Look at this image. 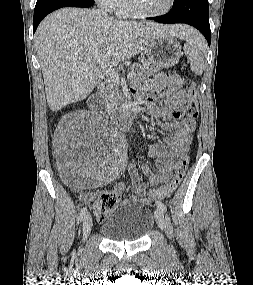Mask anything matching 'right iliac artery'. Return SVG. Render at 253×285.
Returning <instances> with one entry per match:
<instances>
[{
  "label": "right iliac artery",
  "instance_id": "right-iliac-artery-1",
  "mask_svg": "<svg viewBox=\"0 0 253 285\" xmlns=\"http://www.w3.org/2000/svg\"><path fill=\"white\" fill-rule=\"evenodd\" d=\"M87 215V208L83 207L80 211L79 220L83 221Z\"/></svg>",
  "mask_w": 253,
  "mask_h": 285
}]
</instances>
